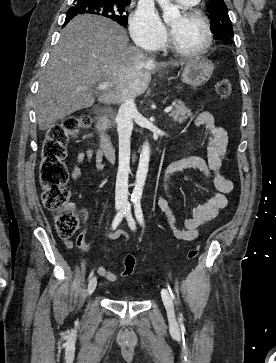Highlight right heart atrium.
<instances>
[{"label":"right heart atrium","instance_id":"d8ad5b80","mask_svg":"<svg viewBox=\"0 0 276 363\" xmlns=\"http://www.w3.org/2000/svg\"><path fill=\"white\" fill-rule=\"evenodd\" d=\"M130 30L134 41L141 47L156 50L167 40V31L154 9L142 5L132 14Z\"/></svg>","mask_w":276,"mask_h":363}]
</instances>
